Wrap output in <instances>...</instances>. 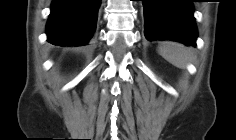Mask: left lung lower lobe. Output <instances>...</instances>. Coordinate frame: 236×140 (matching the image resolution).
I'll list each match as a JSON object with an SVG mask.
<instances>
[{
	"label": "left lung lower lobe",
	"instance_id": "obj_1",
	"mask_svg": "<svg viewBox=\"0 0 236 140\" xmlns=\"http://www.w3.org/2000/svg\"><path fill=\"white\" fill-rule=\"evenodd\" d=\"M144 35L148 41L174 40L196 45L197 28L193 16L194 0H142Z\"/></svg>",
	"mask_w": 236,
	"mask_h": 140
}]
</instances>
